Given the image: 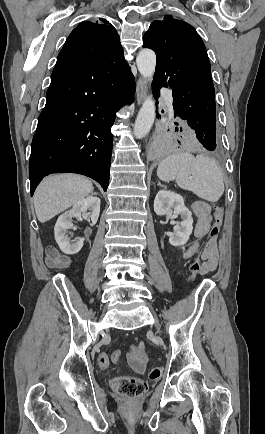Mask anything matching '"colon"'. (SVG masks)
I'll return each instance as SVG.
<instances>
[{
    "label": "colon",
    "mask_w": 265,
    "mask_h": 434,
    "mask_svg": "<svg viewBox=\"0 0 265 434\" xmlns=\"http://www.w3.org/2000/svg\"><path fill=\"white\" fill-rule=\"evenodd\" d=\"M224 211L220 206H215L214 213L212 215L213 227L211 228L207 239H212L219 233L221 223L223 221ZM208 246L205 244V248ZM209 248V247H208ZM200 261L202 258L197 257L191 264L190 269H193L194 276L196 275V269H200ZM65 258H63L56 249L49 248L47 251V265L50 268H61L66 264ZM193 278H187L188 281H192ZM120 359V354L116 353L113 356L114 361ZM98 365L106 369L109 366V359L105 354L98 357ZM163 371L159 367H153L148 372V377L150 380H158L162 377ZM113 387L116 391L127 396H138L142 395L148 390V383L136 376L120 375L117 376L113 382Z\"/></svg>",
    "instance_id": "5ec220e1"
}]
</instances>
